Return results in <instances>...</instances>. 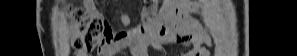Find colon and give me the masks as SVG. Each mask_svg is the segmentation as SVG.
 Wrapping results in <instances>:
<instances>
[{
    "instance_id": "5ec220e1",
    "label": "colon",
    "mask_w": 297,
    "mask_h": 56,
    "mask_svg": "<svg viewBox=\"0 0 297 56\" xmlns=\"http://www.w3.org/2000/svg\"><path fill=\"white\" fill-rule=\"evenodd\" d=\"M69 13L76 29L72 45L77 52L90 53L100 49L111 37L107 23L101 18L88 17L81 10H69Z\"/></svg>"
}]
</instances>
